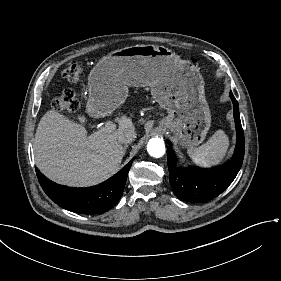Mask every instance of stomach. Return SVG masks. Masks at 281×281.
Listing matches in <instances>:
<instances>
[{
	"label": "stomach",
	"mask_w": 281,
	"mask_h": 281,
	"mask_svg": "<svg viewBox=\"0 0 281 281\" xmlns=\"http://www.w3.org/2000/svg\"><path fill=\"white\" fill-rule=\"evenodd\" d=\"M128 87H150L153 99L168 112L161 121L182 147L201 144L211 127L205 82L197 66L159 45H133L102 57L88 76L86 111L101 118L119 108Z\"/></svg>",
	"instance_id": "1"
}]
</instances>
